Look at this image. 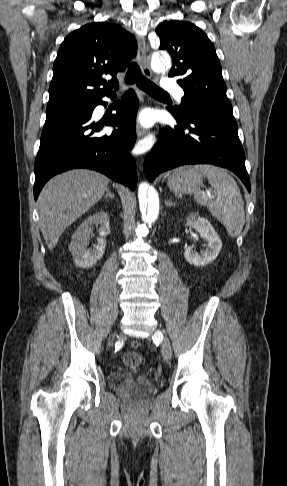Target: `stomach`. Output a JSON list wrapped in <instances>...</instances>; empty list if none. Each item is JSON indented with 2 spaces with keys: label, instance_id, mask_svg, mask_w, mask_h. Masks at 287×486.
I'll return each instance as SVG.
<instances>
[{
  "label": "stomach",
  "instance_id": "stomach-1",
  "mask_svg": "<svg viewBox=\"0 0 287 486\" xmlns=\"http://www.w3.org/2000/svg\"><path fill=\"white\" fill-rule=\"evenodd\" d=\"M204 176L196 166L181 167L168 178L167 184L171 191L192 194L200 190Z\"/></svg>",
  "mask_w": 287,
  "mask_h": 486
}]
</instances>
